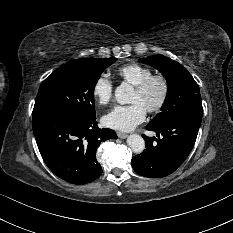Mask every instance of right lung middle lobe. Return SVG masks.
I'll list each match as a JSON object with an SVG mask.
<instances>
[{
	"mask_svg": "<svg viewBox=\"0 0 233 233\" xmlns=\"http://www.w3.org/2000/svg\"><path fill=\"white\" fill-rule=\"evenodd\" d=\"M117 58L80 59L55 70L41 84L33 112H65L96 117L94 88L105 68Z\"/></svg>",
	"mask_w": 233,
	"mask_h": 233,
	"instance_id": "1",
	"label": "right lung middle lobe"
}]
</instances>
